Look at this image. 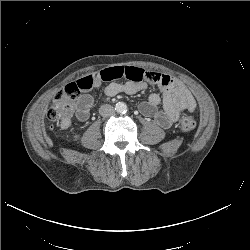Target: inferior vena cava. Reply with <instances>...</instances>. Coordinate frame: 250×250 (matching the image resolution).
Masks as SVG:
<instances>
[{"instance_id": "inferior-vena-cava-1", "label": "inferior vena cava", "mask_w": 250, "mask_h": 250, "mask_svg": "<svg viewBox=\"0 0 250 250\" xmlns=\"http://www.w3.org/2000/svg\"><path fill=\"white\" fill-rule=\"evenodd\" d=\"M115 112L113 106L109 104L102 105L99 109V113L103 117H108L112 115Z\"/></svg>"}]
</instances>
